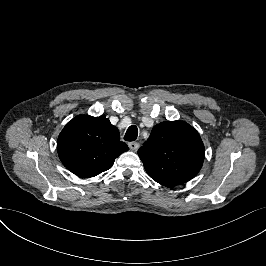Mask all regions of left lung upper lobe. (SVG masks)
I'll list each match as a JSON object with an SVG mask.
<instances>
[{
  "mask_svg": "<svg viewBox=\"0 0 266 266\" xmlns=\"http://www.w3.org/2000/svg\"><path fill=\"white\" fill-rule=\"evenodd\" d=\"M148 175L166 187L192 179L201 169L205 149L198 132L184 121L155 125L138 150Z\"/></svg>",
  "mask_w": 266,
  "mask_h": 266,
  "instance_id": "obj_1",
  "label": "left lung upper lobe"
}]
</instances>
